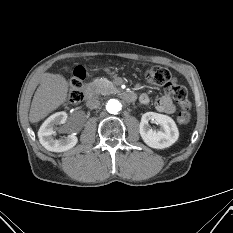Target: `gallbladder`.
<instances>
[{
	"label": "gallbladder",
	"mask_w": 233,
	"mask_h": 233,
	"mask_svg": "<svg viewBox=\"0 0 233 233\" xmlns=\"http://www.w3.org/2000/svg\"><path fill=\"white\" fill-rule=\"evenodd\" d=\"M64 69H65L66 71L70 70L68 67H64Z\"/></svg>",
	"instance_id": "obj_1"
}]
</instances>
